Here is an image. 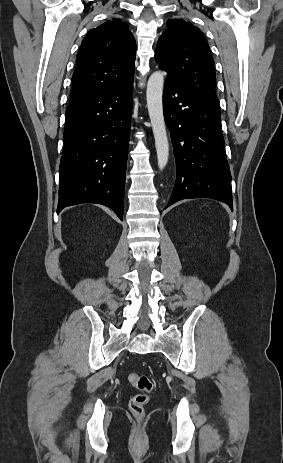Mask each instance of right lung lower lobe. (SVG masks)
<instances>
[{
    "instance_id": "right-lung-lower-lobe-1",
    "label": "right lung lower lobe",
    "mask_w": 283,
    "mask_h": 463,
    "mask_svg": "<svg viewBox=\"0 0 283 463\" xmlns=\"http://www.w3.org/2000/svg\"><path fill=\"white\" fill-rule=\"evenodd\" d=\"M133 80L99 91L66 108L57 213L97 203L123 220Z\"/></svg>"
}]
</instances>
